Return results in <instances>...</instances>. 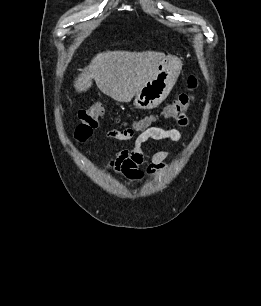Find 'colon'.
I'll return each mask as SVG.
<instances>
[{
  "mask_svg": "<svg viewBox=\"0 0 261 306\" xmlns=\"http://www.w3.org/2000/svg\"><path fill=\"white\" fill-rule=\"evenodd\" d=\"M187 83L189 89L194 90L198 85V80L194 75H190ZM193 102L194 95L192 93H182L166 107L165 115L178 120L192 106ZM102 113L103 109L99 104H92L88 108L79 111V122L75 129V138L78 141L84 142L91 137L93 131L99 126ZM150 124L151 120L146 118L136 122L132 128L120 131H122L123 136L131 137L134 132L145 131Z\"/></svg>",
  "mask_w": 261,
  "mask_h": 306,
  "instance_id": "obj_1",
  "label": "colon"
}]
</instances>
